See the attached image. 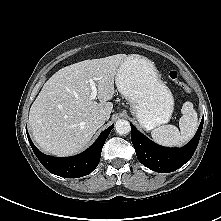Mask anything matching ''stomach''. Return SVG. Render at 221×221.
Here are the masks:
<instances>
[{
  "mask_svg": "<svg viewBox=\"0 0 221 221\" xmlns=\"http://www.w3.org/2000/svg\"><path fill=\"white\" fill-rule=\"evenodd\" d=\"M115 83L129 102L131 114L145 130L170 121L174 98L154 62L137 54L126 56L117 70Z\"/></svg>",
  "mask_w": 221,
  "mask_h": 221,
  "instance_id": "1",
  "label": "stomach"
}]
</instances>
